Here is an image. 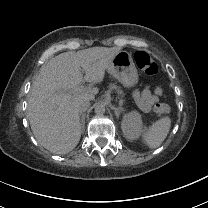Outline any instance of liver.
<instances>
[{"label":"liver","mask_w":208,"mask_h":208,"mask_svg":"<svg viewBox=\"0 0 208 208\" xmlns=\"http://www.w3.org/2000/svg\"><path fill=\"white\" fill-rule=\"evenodd\" d=\"M120 47H93L61 53L42 65L33 82L27 117L37 141L55 154L72 151L81 137L77 100H94L98 88L80 92L81 67L91 82H101Z\"/></svg>","instance_id":"obj_1"}]
</instances>
